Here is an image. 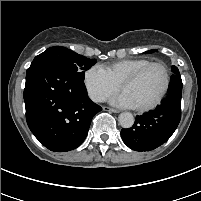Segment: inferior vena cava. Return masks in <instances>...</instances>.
<instances>
[{
  "label": "inferior vena cava",
  "mask_w": 201,
  "mask_h": 201,
  "mask_svg": "<svg viewBox=\"0 0 201 201\" xmlns=\"http://www.w3.org/2000/svg\"><path fill=\"white\" fill-rule=\"evenodd\" d=\"M104 100V98H100V101H103Z\"/></svg>",
  "instance_id": "1"
}]
</instances>
